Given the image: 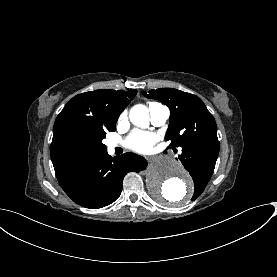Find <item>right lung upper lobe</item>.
I'll use <instances>...</instances> for the list:
<instances>
[{"label": "right lung upper lobe", "mask_w": 277, "mask_h": 277, "mask_svg": "<svg viewBox=\"0 0 277 277\" xmlns=\"http://www.w3.org/2000/svg\"><path fill=\"white\" fill-rule=\"evenodd\" d=\"M137 90L102 89L76 95L67 102L53 127L50 153L52 162L78 139H97L115 131V123ZM54 169H58L57 167Z\"/></svg>", "instance_id": "cb5924a9"}]
</instances>
